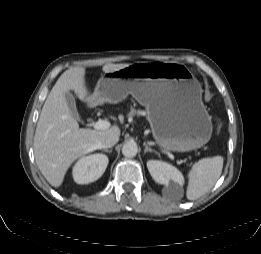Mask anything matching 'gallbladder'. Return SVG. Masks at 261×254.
<instances>
[{
	"mask_svg": "<svg viewBox=\"0 0 261 254\" xmlns=\"http://www.w3.org/2000/svg\"><path fill=\"white\" fill-rule=\"evenodd\" d=\"M65 99H66L67 105L70 109V114L75 119L80 120L73 95L70 92H67V93H65Z\"/></svg>",
	"mask_w": 261,
	"mask_h": 254,
	"instance_id": "gallbladder-1",
	"label": "gallbladder"
}]
</instances>
